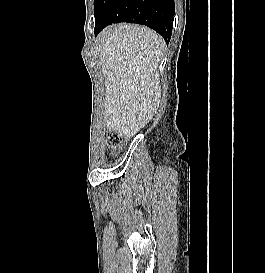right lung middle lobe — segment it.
I'll return each instance as SVG.
<instances>
[{
    "label": "right lung middle lobe",
    "mask_w": 265,
    "mask_h": 273,
    "mask_svg": "<svg viewBox=\"0 0 265 273\" xmlns=\"http://www.w3.org/2000/svg\"><path fill=\"white\" fill-rule=\"evenodd\" d=\"M112 2L113 0H94L95 27L102 22Z\"/></svg>",
    "instance_id": "dd1d6c3e"
}]
</instances>
